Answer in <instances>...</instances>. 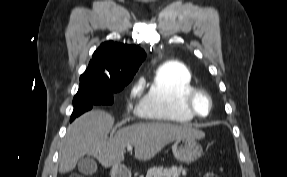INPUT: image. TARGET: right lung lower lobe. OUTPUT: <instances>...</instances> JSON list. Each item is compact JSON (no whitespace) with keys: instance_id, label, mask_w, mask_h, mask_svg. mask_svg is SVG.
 <instances>
[{"instance_id":"obj_1","label":"right lung lower lobe","mask_w":287,"mask_h":177,"mask_svg":"<svg viewBox=\"0 0 287 177\" xmlns=\"http://www.w3.org/2000/svg\"><path fill=\"white\" fill-rule=\"evenodd\" d=\"M93 106H94L93 104L76 106V107H74V111L73 112H76L78 114V116H79V115L83 114L84 112L90 110Z\"/></svg>"}]
</instances>
